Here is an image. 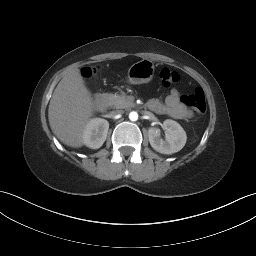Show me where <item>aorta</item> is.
Masks as SVG:
<instances>
[{
  "label": "aorta",
  "mask_w": 256,
  "mask_h": 256,
  "mask_svg": "<svg viewBox=\"0 0 256 256\" xmlns=\"http://www.w3.org/2000/svg\"><path fill=\"white\" fill-rule=\"evenodd\" d=\"M129 119L131 121H137L138 120V113L135 111L130 112Z\"/></svg>",
  "instance_id": "1"
}]
</instances>
